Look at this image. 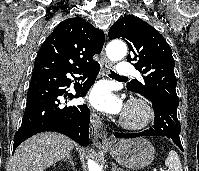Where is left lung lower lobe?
<instances>
[{
    "label": "left lung lower lobe",
    "mask_w": 199,
    "mask_h": 171,
    "mask_svg": "<svg viewBox=\"0 0 199 171\" xmlns=\"http://www.w3.org/2000/svg\"><path fill=\"white\" fill-rule=\"evenodd\" d=\"M152 107L155 113L153 127L139 133H118L114 135L117 138H135L139 136H156L170 138L181 150L183 147L180 141V123L177 118V107L179 104L161 100L152 99Z\"/></svg>",
    "instance_id": "1"
}]
</instances>
